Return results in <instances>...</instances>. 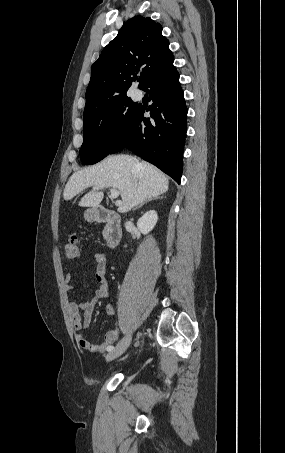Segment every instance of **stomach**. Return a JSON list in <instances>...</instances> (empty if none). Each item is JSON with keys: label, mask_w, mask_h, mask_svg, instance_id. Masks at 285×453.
<instances>
[{"label": "stomach", "mask_w": 285, "mask_h": 453, "mask_svg": "<svg viewBox=\"0 0 285 453\" xmlns=\"http://www.w3.org/2000/svg\"><path fill=\"white\" fill-rule=\"evenodd\" d=\"M84 218H85V220H87L89 222L94 221L96 219V215H95L94 210L89 209V210L85 211Z\"/></svg>", "instance_id": "1"}]
</instances>
